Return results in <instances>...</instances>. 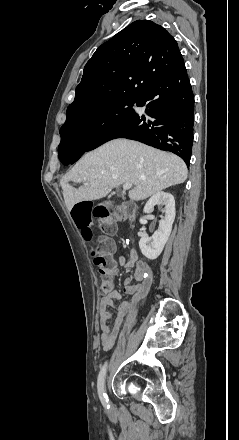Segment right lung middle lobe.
Here are the masks:
<instances>
[{"instance_id": "obj_1", "label": "right lung middle lobe", "mask_w": 239, "mask_h": 440, "mask_svg": "<svg viewBox=\"0 0 239 440\" xmlns=\"http://www.w3.org/2000/svg\"><path fill=\"white\" fill-rule=\"evenodd\" d=\"M137 99L116 97L90 111L66 119L60 129L61 143L58 152L67 147H88L102 132L127 118Z\"/></svg>"}]
</instances>
